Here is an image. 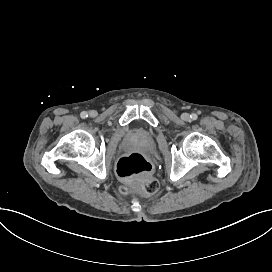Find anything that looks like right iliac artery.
Listing matches in <instances>:
<instances>
[{
    "mask_svg": "<svg viewBox=\"0 0 272 272\" xmlns=\"http://www.w3.org/2000/svg\"><path fill=\"white\" fill-rule=\"evenodd\" d=\"M81 118L85 119L88 117V114L87 112L83 111L81 114H80Z\"/></svg>",
    "mask_w": 272,
    "mask_h": 272,
    "instance_id": "1",
    "label": "right iliac artery"
}]
</instances>
